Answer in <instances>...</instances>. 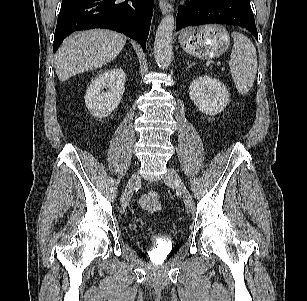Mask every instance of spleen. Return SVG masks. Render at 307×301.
<instances>
[{
  "label": "spleen",
  "instance_id": "3e777b00",
  "mask_svg": "<svg viewBox=\"0 0 307 301\" xmlns=\"http://www.w3.org/2000/svg\"><path fill=\"white\" fill-rule=\"evenodd\" d=\"M233 48L229 66L232 78L240 94H246L253 86L257 73V53L251 40L239 32H232Z\"/></svg>",
  "mask_w": 307,
  "mask_h": 301
}]
</instances>
